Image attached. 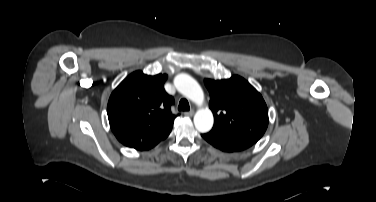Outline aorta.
Here are the masks:
<instances>
[{"mask_svg":"<svg viewBox=\"0 0 376 202\" xmlns=\"http://www.w3.org/2000/svg\"><path fill=\"white\" fill-rule=\"evenodd\" d=\"M176 89L197 105L204 102V93L198 82L188 74H179L174 79ZM214 118L207 108L199 109L194 116L195 128L205 133L211 130Z\"/></svg>","mask_w":376,"mask_h":202,"instance_id":"762f6f07","label":"aorta"}]
</instances>
